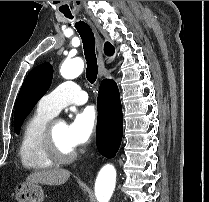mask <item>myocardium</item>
<instances>
[{
  "label": "myocardium",
  "mask_w": 209,
  "mask_h": 202,
  "mask_svg": "<svg viewBox=\"0 0 209 202\" xmlns=\"http://www.w3.org/2000/svg\"><path fill=\"white\" fill-rule=\"evenodd\" d=\"M55 123L54 120L50 121L44 130L42 142L45 151L53 161L59 163L71 162L77 157V151L75 149L64 151L60 148L55 137Z\"/></svg>",
  "instance_id": "f54148a6"
}]
</instances>
